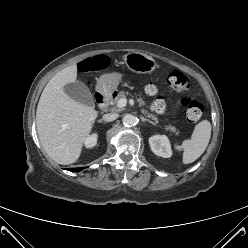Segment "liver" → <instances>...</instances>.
Returning a JSON list of instances; mask_svg holds the SVG:
<instances>
[{
  "label": "liver",
  "mask_w": 248,
  "mask_h": 248,
  "mask_svg": "<svg viewBox=\"0 0 248 248\" xmlns=\"http://www.w3.org/2000/svg\"><path fill=\"white\" fill-rule=\"evenodd\" d=\"M77 79V65L57 72L45 86L36 112L40 143L47 155L63 165L74 163L81 155L98 112L71 99L64 86Z\"/></svg>",
  "instance_id": "1"
}]
</instances>
